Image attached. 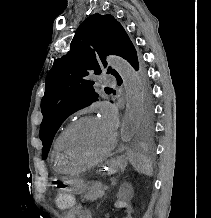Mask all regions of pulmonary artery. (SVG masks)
Masks as SVG:
<instances>
[{
    "instance_id": "e3ab8cb5",
    "label": "pulmonary artery",
    "mask_w": 211,
    "mask_h": 218,
    "mask_svg": "<svg viewBox=\"0 0 211 218\" xmlns=\"http://www.w3.org/2000/svg\"><path fill=\"white\" fill-rule=\"evenodd\" d=\"M103 85H118V80H116V75L103 74L102 75Z\"/></svg>"
}]
</instances>
